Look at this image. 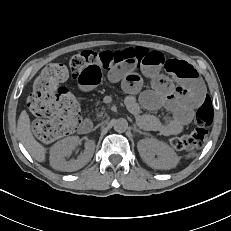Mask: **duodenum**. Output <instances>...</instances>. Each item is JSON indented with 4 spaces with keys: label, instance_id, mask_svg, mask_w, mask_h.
Listing matches in <instances>:
<instances>
[{
    "label": "duodenum",
    "instance_id": "duodenum-1",
    "mask_svg": "<svg viewBox=\"0 0 231 231\" xmlns=\"http://www.w3.org/2000/svg\"><path fill=\"white\" fill-rule=\"evenodd\" d=\"M93 124L91 120L85 119L84 121L81 122L78 131L80 134H88L92 130Z\"/></svg>",
    "mask_w": 231,
    "mask_h": 231
}]
</instances>
